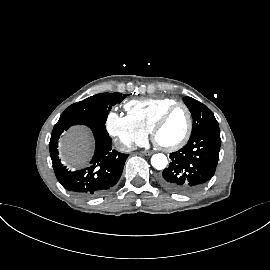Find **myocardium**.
Masks as SVG:
<instances>
[{"mask_svg":"<svg viewBox=\"0 0 270 270\" xmlns=\"http://www.w3.org/2000/svg\"><path fill=\"white\" fill-rule=\"evenodd\" d=\"M177 108H183L186 111L188 124L187 129L180 141L177 143L170 145V146H164L158 143L157 141V134L159 130L162 128V126L165 124L169 116L175 111ZM193 130V116L190 108L183 102H176L173 105L169 106L156 120L154 123L152 130H151V138L154 143V145L159 148L160 150H163L165 152H174L179 149H181L190 139L191 134Z\"/></svg>","mask_w":270,"mask_h":270,"instance_id":"myocardium-1","label":"myocardium"}]
</instances>
